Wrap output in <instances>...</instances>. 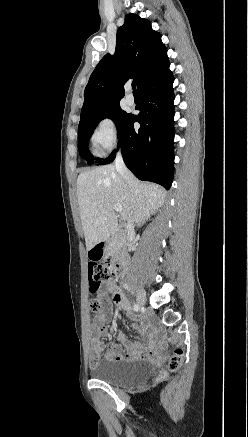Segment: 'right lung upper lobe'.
<instances>
[{
  "label": "right lung upper lobe",
  "mask_w": 248,
  "mask_h": 437,
  "mask_svg": "<svg viewBox=\"0 0 248 437\" xmlns=\"http://www.w3.org/2000/svg\"><path fill=\"white\" fill-rule=\"evenodd\" d=\"M167 59L161 35L150 21L128 14L117 31L114 55L106 54L89 78L80 122L120 105L128 78L135 79L139 88Z\"/></svg>",
  "instance_id": "right-lung-upper-lobe-1"
}]
</instances>
